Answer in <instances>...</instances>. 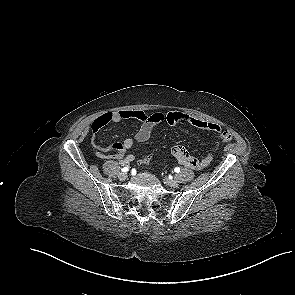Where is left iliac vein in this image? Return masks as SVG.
Returning <instances> with one entry per match:
<instances>
[{"label":"left iliac vein","mask_w":295,"mask_h":295,"mask_svg":"<svg viewBox=\"0 0 295 295\" xmlns=\"http://www.w3.org/2000/svg\"><path fill=\"white\" fill-rule=\"evenodd\" d=\"M164 182L168 184L170 187H178L179 183L176 180L164 179Z\"/></svg>","instance_id":"4c4485c4"}]
</instances>
